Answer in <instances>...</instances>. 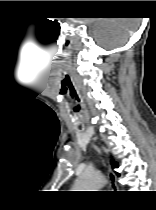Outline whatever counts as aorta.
<instances>
[{
	"instance_id": "762f6f07",
	"label": "aorta",
	"mask_w": 156,
	"mask_h": 210,
	"mask_svg": "<svg viewBox=\"0 0 156 210\" xmlns=\"http://www.w3.org/2000/svg\"><path fill=\"white\" fill-rule=\"evenodd\" d=\"M105 183L103 175L96 170H85L77 179L75 189L78 191H95Z\"/></svg>"
}]
</instances>
